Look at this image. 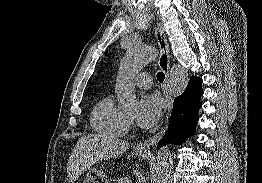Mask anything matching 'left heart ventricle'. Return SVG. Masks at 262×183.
Returning <instances> with one entry per match:
<instances>
[{
	"instance_id": "b2bd125f",
	"label": "left heart ventricle",
	"mask_w": 262,
	"mask_h": 183,
	"mask_svg": "<svg viewBox=\"0 0 262 183\" xmlns=\"http://www.w3.org/2000/svg\"><path fill=\"white\" fill-rule=\"evenodd\" d=\"M130 117H132V118H133V117H135V113H133V114H130Z\"/></svg>"
}]
</instances>
